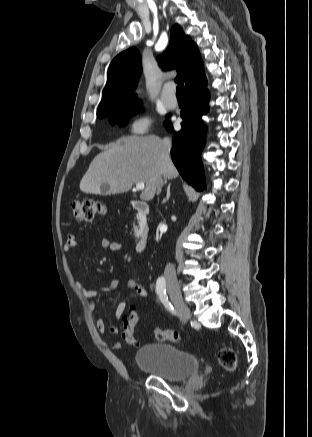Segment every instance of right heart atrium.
Listing matches in <instances>:
<instances>
[{"label":"right heart atrium","instance_id":"obj_1","mask_svg":"<svg viewBox=\"0 0 312 437\" xmlns=\"http://www.w3.org/2000/svg\"><path fill=\"white\" fill-rule=\"evenodd\" d=\"M151 125V120L147 116H139L132 120L130 131L133 134L141 135L146 133Z\"/></svg>","mask_w":312,"mask_h":437}]
</instances>
